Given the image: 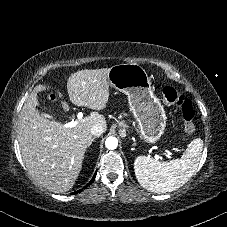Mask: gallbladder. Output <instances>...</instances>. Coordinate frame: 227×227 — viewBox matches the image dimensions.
Segmentation results:
<instances>
[{"instance_id": "1", "label": "gallbladder", "mask_w": 227, "mask_h": 227, "mask_svg": "<svg viewBox=\"0 0 227 227\" xmlns=\"http://www.w3.org/2000/svg\"><path fill=\"white\" fill-rule=\"evenodd\" d=\"M40 114L42 115V116H46V117H48V118H50V119H52L53 117L52 116H50L48 113H46V112H40Z\"/></svg>"}]
</instances>
